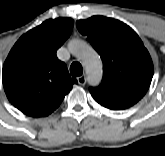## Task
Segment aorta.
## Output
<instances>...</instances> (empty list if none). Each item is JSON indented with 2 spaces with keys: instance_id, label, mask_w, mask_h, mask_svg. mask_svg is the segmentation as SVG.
Returning <instances> with one entry per match:
<instances>
[{
  "instance_id": "1",
  "label": "aorta",
  "mask_w": 165,
  "mask_h": 156,
  "mask_svg": "<svg viewBox=\"0 0 165 156\" xmlns=\"http://www.w3.org/2000/svg\"><path fill=\"white\" fill-rule=\"evenodd\" d=\"M68 49L72 55L82 61L89 84H99L102 78V62L95 50L82 40H72Z\"/></svg>"
}]
</instances>
